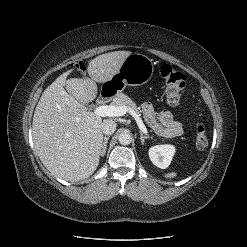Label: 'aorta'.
Listing matches in <instances>:
<instances>
[{"label": "aorta", "mask_w": 247, "mask_h": 247, "mask_svg": "<svg viewBox=\"0 0 247 247\" xmlns=\"http://www.w3.org/2000/svg\"><path fill=\"white\" fill-rule=\"evenodd\" d=\"M118 141L121 145H129L132 141V137L129 133H121L118 137Z\"/></svg>", "instance_id": "obj_1"}]
</instances>
